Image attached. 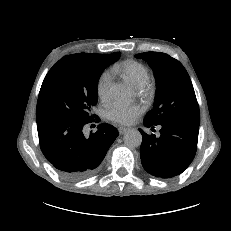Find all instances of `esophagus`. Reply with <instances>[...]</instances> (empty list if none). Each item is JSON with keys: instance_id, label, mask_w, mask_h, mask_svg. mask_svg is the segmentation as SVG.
Here are the masks:
<instances>
[{"instance_id": "1", "label": "esophagus", "mask_w": 231, "mask_h": 231, "mask_svg": "<svg viewBox=\"0 0 231 231\" xmlns=\"http://www.w3.org/2000/svg\"><path fill=\"white\" fill-rule=\"evenodd\" d=\"M127 130H128V128H126V127H120V128L118 129L120 135L125 134Z\"/></svg>"}]
</instances>
